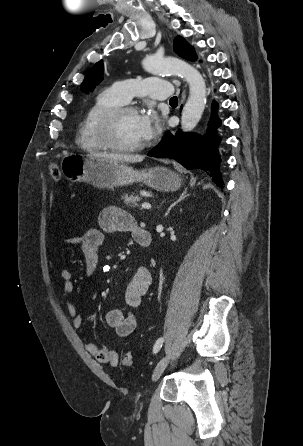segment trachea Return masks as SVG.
<instances>
[{"instance_id":"1","label":"trachea","mask_w":303,"mask_h":446,"mask_svg":"<svg viewBox=\"0 0 303 446\" xmlns=\"http://www.w3.org/2000/svg\"><path fill=\"white\" fill-rule=\"evenodd\" d=\"M170 103H178V98L176 96L172 97Z\"/></svg>"}]
</instances>
